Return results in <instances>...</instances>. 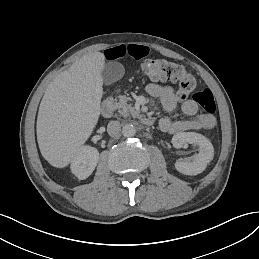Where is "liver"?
I'll use <instances>...</instances> for the list:
<instances>
[{"instance_id": "6515ba94", "label": "liver", "mask_w": 259, "mask_h": 259, "mask_svg": "<svg viewBox=\"0 0 259 259\" xmlns=\"http://www.w3.org/2000/svg\"><path fill=\"white\" fill-rule=\"evenodd\" d=\"M104 65L103 53L84 55L48 84L36 134L41 155L52 167H68L93 134L101 114Z\"/></svg>"}]
</instances>
